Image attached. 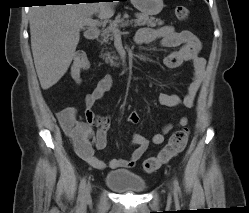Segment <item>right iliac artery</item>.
I'll use <instances>...</instances> for the list:
<instances>
[{
  "instance_id": "82829eb1",
  "label": "right iliac artery",
  "mask_w": 249,
  "mask_h": 213,
  "mask_svg": "<svg viewBox=\"0 0 249 213\" xmlns=\"http://www.w3.org/2000/svg\"><path fill=\"white\" fill-rule=\"evenodd\" d=\"M85 184H86V178L84 177L82 178L80 185H79V195H78L79 201H83Z\"/></svg>"
}]
</instances>
